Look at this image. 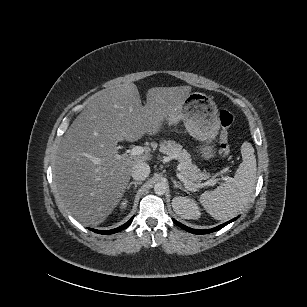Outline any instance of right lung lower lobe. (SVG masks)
Here are the masks:
<instances>
[{
  "label": "right lung lower lobe",
  "instance_id": "right-lung-lower-lobe-1",
  "mask_svg": "<svg viewBox=\"0 0 307 307\" xmlns=\"http://www.w3.org/2000/svg\"><path fill=\"white\" fill-rule=\"evenodd\" d=\"M132 220H133V217L127 223H125L124 225H122V226H120L116 229H113V230H108V231H101V230H95V229H90V230H92L96 233H99V234H113V233H116L118 231H121V230L127 228L131 224Z\"/></svg>",
  "mask_w": 307,
  "mask_h": 307
}]
</instances>
